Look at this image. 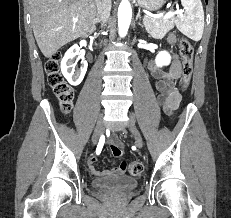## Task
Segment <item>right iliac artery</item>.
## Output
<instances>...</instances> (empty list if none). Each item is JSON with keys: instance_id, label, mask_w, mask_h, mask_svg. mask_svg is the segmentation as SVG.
Instances as JSON below:
<instances>
[{"instance_id": "82829eb1", "label": "right iliac artery", "mask_w": 231, "mask_h": 218, "mask_svg": "<svg viewBox=\"0 0 231 218\" xmlns=\"http://www.w3.org/2000/svg\"><path fill=\"white\" fill-rule=\"evenodd\" d=\"M104 142H105V138H104V136H101V138L99 140V143H98V146H97V149H96V154L97 155H99L101 153Z\"/></svg>"}]
</instances>
